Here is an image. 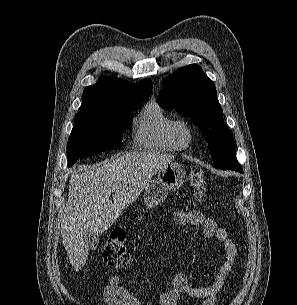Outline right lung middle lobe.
Wrapping results in <instances>:
<instances>
[{"label": "right lung middle lobe", "mask_w": 297, "mask_h": 305, "mask_svg": "<svg viewBox=\"0 0 297 305\" xmlns=\"http://www.w3.org/2000/svg\"><path fill=\"white\" fill-rule=\"evenodd\" d=\"M145 100H128L107 107L79 108L67 145L68 166H72L79 157L121 148L122 134L132 126L131 112Z\"/></svg>", "instance_id": "1"}]
</instances>
